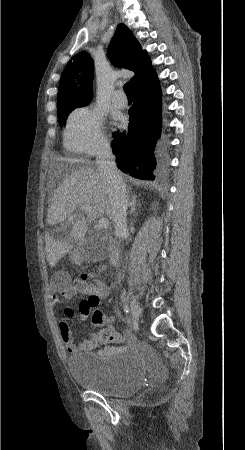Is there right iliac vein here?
<instances>
[{
	"label": "right iliac vein",
	"mask_w": 245,
	"mask_h": 450,
	"mask_svg": "<svg viewBox=\"0 0 245 450\" xmlns=\"http://www.w3.org/2000/svg\"><path fill=\"white\" fill-rule=\"evenodd\" d=\"M130 309H131V314H132L133 319L135 321H138L139 317H140L141 310H140V305H139V303L137 302V300L135 298L131 299Z\"/></svg>",
	"instance_id": "63e3f726"
}]
</instances>
